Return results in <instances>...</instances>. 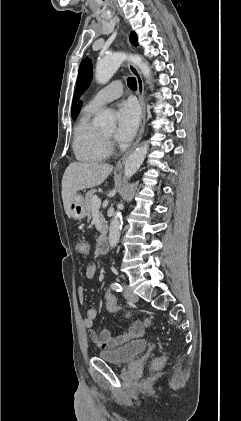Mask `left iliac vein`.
I'll use <instances>...</instances> for the list:
<instances>
[{
  "instance_id": "1",
  "label": "left iliac vein",
  "mask_w": 241,
  "mask_h": 421,
  "mask_svg": "<svg viewBox=\"0 0 241 421\" xmlns=\"http://www.w3.org/2000/svg\"><path fill=\"white\" fill-rule=\"evenodd\" d=\"M123 288H124L123 295L128 301H131V302L138 301V296L133 292V290L128 285H124Z\"/></svg>"
}]
</instances>
